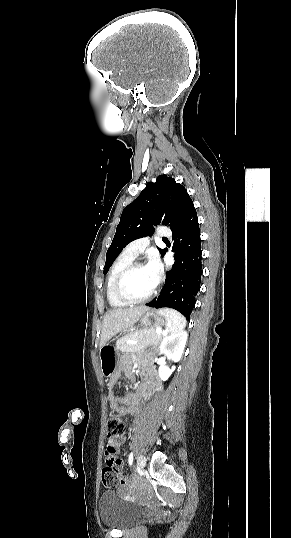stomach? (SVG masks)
Listing matches in <instances>:
<instances>
[{"instance_id":"stomach-1","label":"stomach","mask_w":291,"mask_h":538,"mask_svg":"<svg viewBox=\"0 0 291 538\" xmlns=\"http://www.w3.org/2000/svg\"><path fill=\"white\" fill-rule=\"evenodd\" d=\"M140 325L145 329L160 328L167 324L164 315L159 312L148 310L139 320ZM99 357L101 361V372L106 379H110L116 372L118 366V350L115 346L106 344L100 348Z\"/></svg>"}]
</instances>
